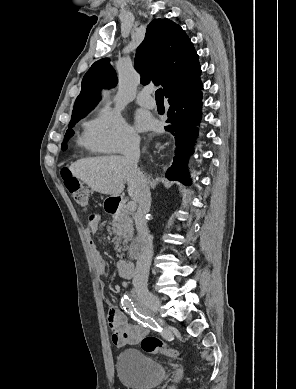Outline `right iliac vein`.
<instances>
[{
	"label": "right iliac vein",
	"mask_w": 296,
	"mask_h": 389,
	"mask_svg": "<svg viewBox=\"0 0 296 389\" xmlns=\"http://www.w3.org/2000/svg\"><path fill=\"white\" fill-rule=\"evenodd\" d=\"M141 305H145L152 312L158 313V311L160 310L161 302L156 295L148 293L143 296Z\"/></svg>",
	"instance_id": "obj_1"
}]
</instances>
